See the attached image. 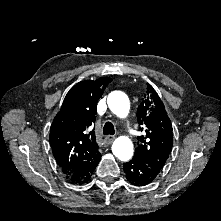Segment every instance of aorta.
<instances>
[{"label":"aorta","mask_w":221,"mask_h":221,"mask_svg":"<svg viewBox=\"0 0 221 221\" xmlns=\"http://www.w3.org/2000/svg\"><path fill=\"white\" fill-rule=\"evenodd\" d=\"M109 109L118 117L124 118L130 110V102L128 96L121 91H113L107 98ZM113 154L121 161H128L133 156L132 141L125 136H120L113 142Z\"/></svg>","instance_id":"762f6f07"}]
</instances>
